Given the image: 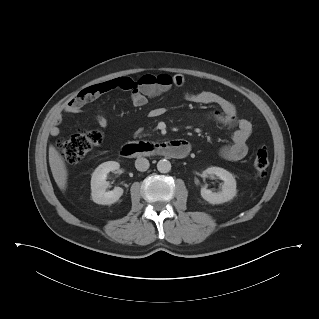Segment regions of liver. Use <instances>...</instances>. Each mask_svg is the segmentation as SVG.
I'll return each mask as SVG.
<instances>
[{"label":"liver","instance_id":"obj_1","mask_svg":"<svg viewBox=\"0 0 319 319\" xmlns=\"http://www.w3.org/2000/svg\"><path fill=\"white\" fill-rule=\"evenodd\" d=\"M49 165L57 186L60 190L65 191L67 187L68 171L64 160L53 145H50L49 147Z\"/></svg>","mask_w":319,"mask_h":319}]
</instances>
